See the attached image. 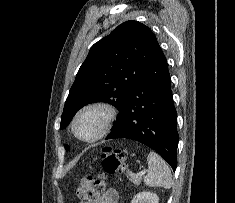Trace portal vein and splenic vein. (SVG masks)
<instances>
[{
  "instance_id": "portal-vein-and-splenic-vein-1",
  "label": "portal vein and splenic vein",
  "mask_w": 235,
  "mask_h": 203,
  "mask_svg": "<svg viewBox=\"0 0 235 203\" xmlns=\"http://www.w3.org/2000/svg\"><path fill=\"white\" fill-rule=\"evenodd\" d=\"M145 173H146V170H142V171H140L139 173H137V176H144L145 175Z\"/></svg>"
}]
</instances>
